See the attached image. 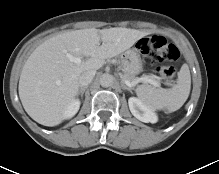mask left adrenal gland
<instances>
[{
    "instance_id": "obj_1",
    "label": "left adrenal gland",
    "mask_w": 219,
    "mask_h": 174,
    "mask_svg": "<svg viewBox=\"0 0 219 174\" xmlns=\"http://www.w3.org/2000/svg\"><path fill=\"white\" fill-rule=\"evenodd\" d=\"M122 88H123L124 90H128V91H130V92L132 93L131 88L127 87V86L124 84V82H122Z\"/></svg>"
}]
</instances>
